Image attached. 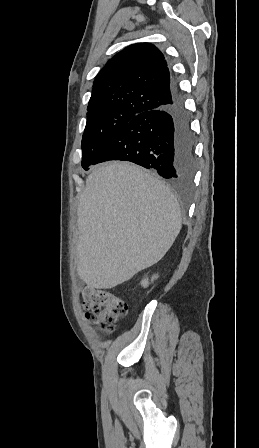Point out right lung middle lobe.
Listing matches in <instances>:
<instances>
[{
	"instance_id": "dd1d6c3e",
	"label": "right lung middle lobe",
	"mask_w": 259,
	"mask_h": 448,
	"mask_svg": "<svg viewBox=\"0 0 259 448\" xmlns=\"http://www.w3.org/2000/svg\"><path fill=\"white\" fill-rule=\"evenodd\" d=\"M139 114V112L87 113L82 138V167L88 170L115 136Z\"/></svg>"
}]
</instances>
